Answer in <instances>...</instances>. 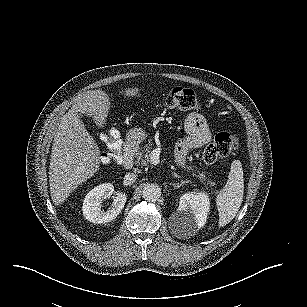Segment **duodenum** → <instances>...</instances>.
<instances>
[{"label":"duodenum","instance_id":"duodenum-1","mask_svg":"<svg viewBox=\"0 0 307 307\" xmlns=\"http://www.w3.org/2000/svg\"><path fill=\"white\" fill-rule=\"evenodd\" d=\"M136 147L133 143H126L124 146L123 165L125 168L130 169L134 165Z\"/></svg>","mask_w":307,"mask_h":307}]
</instances>
